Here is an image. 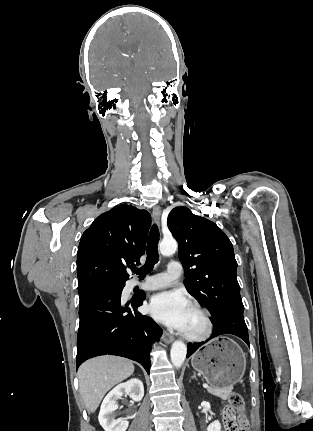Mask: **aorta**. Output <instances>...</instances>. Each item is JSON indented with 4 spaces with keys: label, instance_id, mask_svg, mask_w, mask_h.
Returning <instances> with one entry per match:
<instances>
[{
    "label": "aorta",
    "instance_id": "obj_1",
    "mask_svg": "<svg viewBox=\"0 0 313 431\" xmlns=\"http://www.w3.org/2000/svg\"><path fill=\"white\" fill-rule=\"evenodd\" d=\"M177 242L174 239H164L161 241L159 249L160 253L163 256H171L173 255L177 250ZM187 354V347L182 341H175L172 344L171 351H170V357L171 362L176 368H180L186 358Z\"/></svg>",
    "mask_w": 313,
    "mask_h": 431
}]
</instances>
